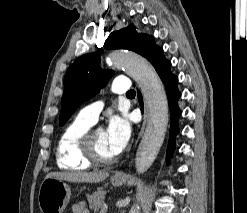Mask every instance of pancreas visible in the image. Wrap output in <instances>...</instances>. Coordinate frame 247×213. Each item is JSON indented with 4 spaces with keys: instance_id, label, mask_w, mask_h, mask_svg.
<instances>
[{
    "instance_id": "pancreas-1",
    "label": "pancreas",
    "mask_w": 247,
    "mask_h": 213,
    "mask_svg": "<svg viewBox=\"0 0 247 213\" xmlns=\"http://www.w3.org/2000/svg\"><path fill=\"white\" fill-rule=\"evenodd\" d=\"M105 199L104 191L94 192L92 195L87 197L90 209L98 212L103 209ZM101 213V212H100Z\"/></svg>"
}]
</instances>
